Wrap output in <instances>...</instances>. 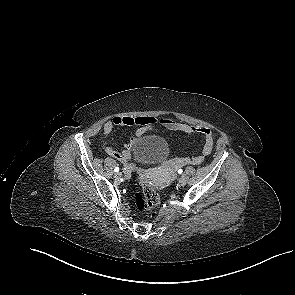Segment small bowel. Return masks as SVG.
Instances as JSON below:
<instances>
[{"instance_id": "small-bowel-1", "label": "small bowel", "mask_w": 295, "mask_h": 295, "mask_svg": "<svg viewBox=\"0 0 295 295\" xmlns=\"http://www.w3.org/2000/svg\"><path fill=\"white\" fill-rule=\"evenodd\" d=\"M157 123H160L163 127L171 131L182 132L188 136L193 134H199L202 136L203 145L201 153L190 157L177 158L174 163L178 166L186 165H199L201 164L205 157L208 156L214 146L213 133L209 128L190 125L182 122H178L172 118L163 117L157 119L155 117L142 116V117H129V116H116L112 119L106 121L103 125L102 132L103 138L106 139L115 127L126 126L135 127L133 137L130 141L125 144V148L122 150H115L110 147L106 141L103 142L104 151L112 158L120 161L126 167L129 166V161L131 159L132 150L137 138H140L147 131L154 129Z\"/></svg>"}]
</instances>
